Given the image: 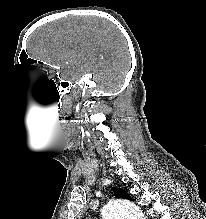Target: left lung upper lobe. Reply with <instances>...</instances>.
I'll use <instances>...</instances> for the list:
<instances>
[{
    "mask_svg": "<svg viewBox=\"0 0 206 219\" xmlns=\"http://www.w3.org/2000/svg\"><path fill=\"white\" fill-rule=\"evenodd\" d=\"M113 192L115 194V196L117 198H123V199H128V200H133L130 196V194H128L126 191H124L123 189H119L116 187H113Z\"/></svg>",
    "mask_w": 206,
    "mask_h": 219,
    "instance_id": "obj_1",
    "label": "left lung upper lobe"
}]
</instances>
